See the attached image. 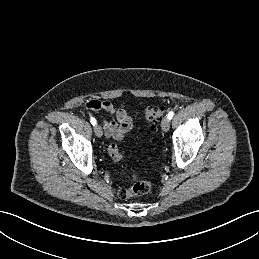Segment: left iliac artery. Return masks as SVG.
<instances>
[{"mask_svg":"<svg viewBox=\"0 0 259 259\" xmlns=\"http://www.w3.org/2000/svg\"><path fill=\"white\" fill-rule=\"evenodd\" d=\"M174 116V112L173 111H170L167 115L168 119L171 120Z\"/></svg>","mask_w":259,"mask_h":259,"instance_id":"44dca946","label":"left iliac artery"}]
</instances>
